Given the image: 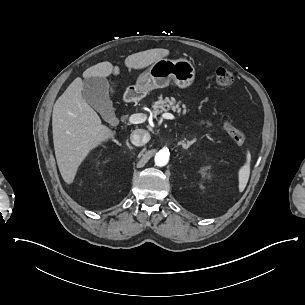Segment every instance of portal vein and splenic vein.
Instances as JSON below:
<instances>
[{
	"mask_svg": "<svg viewBox=\"0 0 305 305\" xmlns=\"http://www.w3.org/2000/svg\"><path fill=\"white\" fill-rule=\"evenodd\" d=\"M146 115L143 114V113H136V114H132L130 117H129V122L131 124H140V123H143L146 121ZM162 118L163 119H174V115L171 114V113H163L162 114Z\"/></svg>",
	"mask_w": 305,
	"mask_h": 305,
	"instance_id": "1",
	"label": "portal vein and splenic vein"
}]
</instances>
